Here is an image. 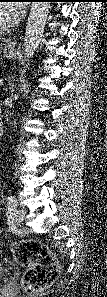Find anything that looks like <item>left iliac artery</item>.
<instances>
[{
	"instance_id": "left-iliac-artery-1",
	"label": "left iliac artery",
	"mask_w": 107,
	"mask_h": 297,
	"mask_svg": "<svg viewBox=\"0 0 107 297\" xmlns=\"http://www.w3.org/2000/svg\"><path fill=\"white\" fill-rule=\"evenodd\" d=\"M7 204H8V213L13 214L17 207L16 198L13 196H9L7 198Z\"/></svg>"
}]
</instances>
